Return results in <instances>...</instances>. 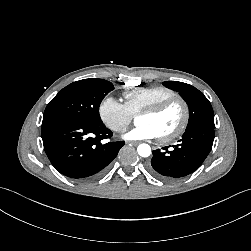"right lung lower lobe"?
<instances>
[{
  "label": "right lung lower lobe",
  "mask_w": 251,
  "mask_h": 251,
  "mask_svg": "<svg viewBox=\"0 0 251 251\" xmlns=\"http://www.w3.org/2000/svg\"><path fill=\"white\" fill-rule=\"evenodd\" d=\"M111 136L103 123L51 118L42 124L43 145L52 165L78 181L101 175L117 156L123 141L101 142Z\"/></svg>",
  "instance_id": "right-lung-lower-lobe-1"
}]
</instances>
